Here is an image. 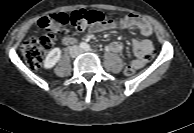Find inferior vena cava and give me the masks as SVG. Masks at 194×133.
<instances>
[{"label": "inferior vena cava", "mask_w": 194, "mask_h": 133, "mask_svg": "<svg viewBox=\"0 0 194 133\" xmlns=\"http://www.w3.org/2000/svg\"><path fill=\"white\" fill-rule=\"evenodd\" d=\"M83 52V50L77 46V45H74V46H71L69 48V54L72 56V57H76L78 56L79 54H81Z\"/></svg>", "instance_id": "602c4592"}]
</instances>
